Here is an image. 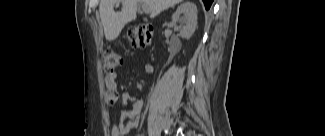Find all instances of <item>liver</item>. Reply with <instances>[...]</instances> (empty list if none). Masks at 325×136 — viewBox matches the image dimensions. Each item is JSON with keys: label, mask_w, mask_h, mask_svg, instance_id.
I'll list each match as a JSON object with an SVG mask.
<instances>
[{"label": "liver", "mask_w": 325, "mask_h": 136, "mask_svg": "<svg viewBox=\"0 0 325 136\" xmlns=\"http://www.w3.org/2000/svg\"><path fill=\"white\" fill-rule=\"evenodd\" d=\"M182 0H101L99 12L106 40H115L125 24L135 20L138 3L149 8L150 17L154 18L162 11L181 2ZM122 2V10L114 11V5Z\"/></svg>", "instance_id": "liver-1"}]
</instances>
